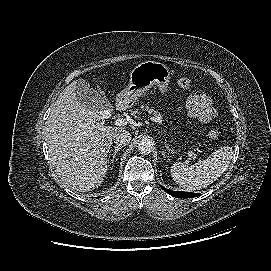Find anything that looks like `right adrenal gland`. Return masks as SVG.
<instances>
[{
	"instance_id": "2a0ac1e0",
	"label": "right adrenal gland",
	"mask_w": 271,
	"mask_h": 271,
	"mask_svg": "<svg viewBox=\"0 0 271 271\" xmlns=\"http://www.w3.org/2000/svg\"><path fill=\"white\" fill-rule=\"evenodd\" d=\"M122 148H123L122 146H114V148H111L110 151L108 152V155H109L108 162H109V160H110L111 153L113 152V154H112L113 156H112V159L110 160V163H113L116 154H117Z\"/></svg>"
}]
</instances>
